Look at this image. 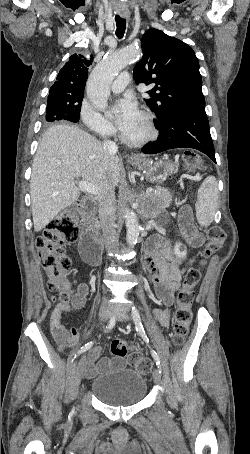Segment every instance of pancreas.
Returning <instances> with one entry per match:
<instances>
[{
	"label": "pancreas",
	"instance_id": "pancreas-1",
	"mask_svg": "<svg viewBox=\"0 0 250 454\" xmlns=\"http://www.w3.org/2000/svg\"><path fill=\"white\" fill-rule=\"evenodd\" d=\"M155 201L161 206H168L171 201V195L162 189H158L155 195Z\"/></svg>",
	"mask_w": 250,
	"mask_h": 454
}]
</instances>
